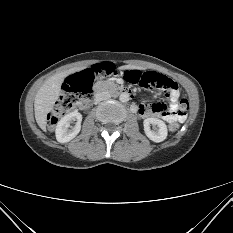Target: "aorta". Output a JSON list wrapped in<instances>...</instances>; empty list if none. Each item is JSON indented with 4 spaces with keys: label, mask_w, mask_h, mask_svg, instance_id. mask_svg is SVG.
<instances>
[{
    "label": "aorta",
    "mask_w": 233,
    "mask_h": 233,
    "mask_svg": "<svg viewBox=\"0 0 233 233\" xmlns=\"http://www.w3.org/2000/svg\"><path fill=\"white\" fill-rule=\"evenodd\" d=\"M119 99L121 102H127L130 99V95L127 92H123L120 94Z\"/></svg>",
    "instance_id": "762f6f07"
}]
</instances>
